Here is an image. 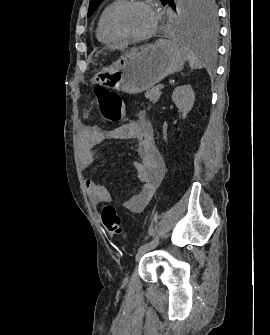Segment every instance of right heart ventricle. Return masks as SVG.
Listing matches in <instances>:
<instances>
[{
  "mask_svg": "<svg viewBox=\"0 0 270 335\" xmlns=\"http://www.w3.org/2000/svg\"><path fill=\"white\" fill-rule=\"evenodd\" d=\"M124 2L126 1L112 0L101 11L96 29V37L101 43L108 45L123 40L122 37L115 34L111 29L110 17L113 11Z\"/></svg>",
  "mask_w": 270,
  "mask_h": 335,
  "instance_id": "right-heart-ventricle-1",
  "label": "right heart ventricle"
}]
</instances>
